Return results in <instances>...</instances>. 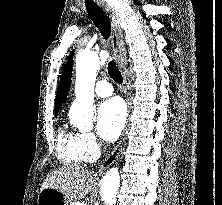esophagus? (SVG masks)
<instances>
[{
  "label": "esophagus",
  "mask_w": 222,
  "mask_h": 205,
  "mask_svg": "<svg viewBox=\"0 0 222 205\" xmlns=\"http://www.w3.org/2000/svg\"><path fill=\"white\" fill-rule=\"evenodd\" d=\"M104 12L109 16L111 21V45L116 57L117 64L120 68L125 69L126 61H125V46L122 40V30L120 27V20L113 11L110 6L103 7ZM124 79L127 89H130V81L129 78L124 72ZM128 101V111L131 109V102L129 97ZM125 141V137L120 141V143L114 148L112 153L108 156V158L102 163L100 170H104L109 167L120 155L121 149L123 147Z\"/></svg>",
  "instance_id": "34e87169"
}]
</instances>
